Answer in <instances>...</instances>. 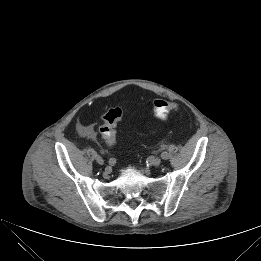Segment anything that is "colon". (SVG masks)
<instances>
[{
  "instance_id": "obj_1",
  "label": "colon",
  "mask_w": 261,
  "mask_h": 261,
  "mask_svg": "<svg viewBox=\"0 0 261 261\" xmlns=\"http://www.w3.org/2000/svg\"><path fill=\"white\" fill-rule=\"evenodd\" d=\"M154 115L160 120H165L168 114L178 109L174 102L157 98L153 101ZM123 113L120 108L109 109L102 117L100 133L107 144L113 145L116 142V126L122 119Z\"/></svg>"
}]
</instances>
